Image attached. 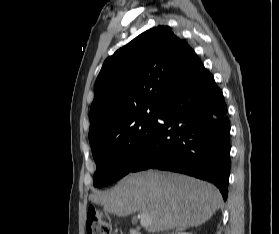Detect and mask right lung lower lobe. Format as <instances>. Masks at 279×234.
<instances>
[{"label": "right lung lower lobe", "mask_w": 279, "mask_h": 234, "mask_svg": "<svg viewBox=\"0 0 279 234\" xmlns=\"http://www.w3.org/2000/svg\"><path fill=\"white\" fill-rule=\"evenodd\" d=\"M155 130L131 172L158 168L213 182L228 195L230 122L222 91L201 64L159 108Z\"/></svg>", "instance_id": "obj_1"}]
</instances>
